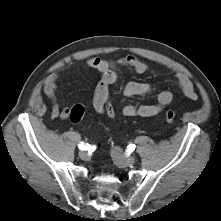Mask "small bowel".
Returning a JSON list of instances; mask_svg holds the SVG:
<instances>
[{
    "label": "small bowel",
    "mask_w": 221,
    "mask_h": 221,
    "mask_svg": "<svg viewBox=\"0 0 221 221\" xmlns=\"http://www.w3.org/2000/svg\"><path fill=\"white\" fill-rule=\"evenodd\" d=\"M86 65L89 69L96 70L100 74V80L96 86L93 97V107L98 113H104L105 104L109 102L110 99V88L117 80L116 71L118 69L128 68L136 74H143L148 69L146 62L133 55H127L116 61H109L100 57H90L86 60ZM65 68L66 66L59 68V70L53 72L44 82L43 90L52 102V118L60 117L67 119L69 116L70 108H61L57 100V83L60 79V71ZM175 82L186 98L190 100L197 99V93L193 84L185 74L177 72ZM150 91L151 86L149 84L134 81L128 82L123 88V93L127 97L144 96L150 93ZM172 100L173 93L169 90H163L158 94L155 104L139 106L126 105L122 109V114L126 117H153L161 113Z\"/></svg>",
    "instance_id": "c3829d8e"
}]
</instances>
